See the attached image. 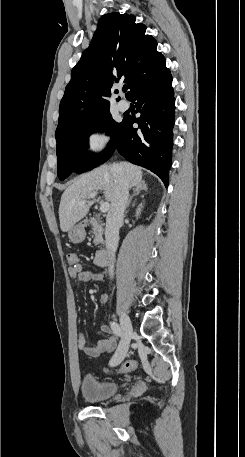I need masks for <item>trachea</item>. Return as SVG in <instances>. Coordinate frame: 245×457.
Masks as SVG:
<instances>
[{"label": "trachea", "mask_w": 245, "mask_h": 457, "mask_svg": "<svg viewBox=\"0 0 245 457\" xmlns=\"http://www.w3.org/2000/svg\"><path fill=\"white\" fill-rule=\"evenodd\" d=\"M127 91V87H123V92H126Z\"/></svg>", "instance_id": "obj_1"}]
</instances>
